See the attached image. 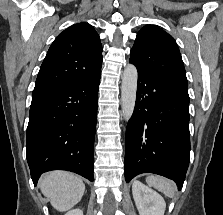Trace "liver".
I'll use <instances>...</instances> for the list:
<instances>
[{"label": "liver", "instance_id": "obj_1", "mask_svg": "<svg viewBox=\"0 0 223 215\" xmlns=\"http://www.w3.org/2000/svg\"><path fill=\"white\" fill-rule=\"evenodd\" d=\"M40 189L58 211H67L80 201L85 191L80 175L70 171H48L39 179Z\"/></svg>", "mask_w": 223, "mask_h": 215}]
</instances>
